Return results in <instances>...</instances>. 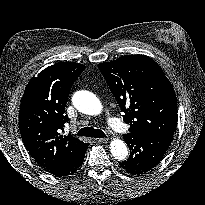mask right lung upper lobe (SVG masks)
<instances>
[{
  "label": "right lung upper lobe",
  "instance_id": "obj_1",
  "mask_svg": "<svg viewBox=\"0 0 205 205\" xmlns=\"http://www.w3.org/2000/svg\"><path fill=\"white\" fill-rule=\"evenodd\" d=\"M85 69L61 62L47 67L26 86L19 111V128L26 149L47 171L62 166L87 143L61 135L68 122L65 105L70 89Z\"/></svg>",
  "mask_w": 205,
  "mask_h": 205
}]
</instances>
